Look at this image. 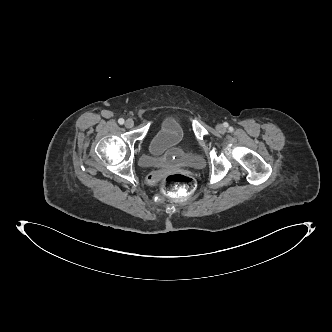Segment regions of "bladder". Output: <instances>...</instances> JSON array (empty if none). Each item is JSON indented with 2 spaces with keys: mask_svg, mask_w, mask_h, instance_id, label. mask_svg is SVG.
<instances>
[{
  "mask_svg": "<svg viewBox=\"0 0 332 332\" xmlns=\"http://www.w3.org/2000/svg\"><path fill=\"white\" fill-rule=\"evenodd\" d=\"M169 135H176L177 139L166 143L160 150L157 145ZM183 136V129L179 122L168 119L153 136L148 145V152L139 156L138 163L144 168L153 167H187L199 168L202 164L201 156L178 145Z\"/></svg>",
  "mask_w": 332,
  "mask_h": 332,
  "instance_id": "31cf9c89",
  "label": "bladder"
}]
</instances>
